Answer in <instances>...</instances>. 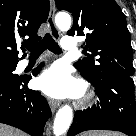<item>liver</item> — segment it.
Returning <instances> with one entry per match:
<instances>
[{
  "label": "liver",
  "mask_w": 136,
  "mask_h": 136,
  "mask_svg": "<svg viewBox=\"0 0 136 136\" xmlns=\"http://www.w3.org/2000/svg\"><path fill=\"white\" fill-rule=\"evenodd\" d=\"M0 136H26V135L13 127L0 124Z\"/></svg>",
  "instance_id": "liver-1"
}]
</instances>
